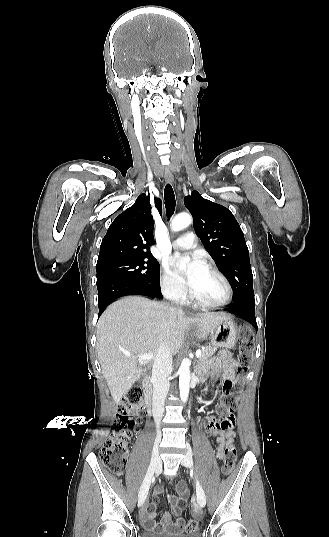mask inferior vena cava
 Masks as SVG:
<instances>
[{
	"label": "inferior vena cava",
	"mask_w": 329,
	"mask_h": 537,
	"mask_svg": "<svg viewBox=\"0 0 329 537\" xmlns=\"http://www.w3.org/2000/svg\"><path fill=\"white\" fill-rule=\"evenodd\" d=\"M173 312H182L180 309L171 307ZM172 370V353L166 337L161 341L152 367L153 404L152 412L157 432H160V422L164 414L165 399L169 390V375Z\"/></svg>",
	"instance_id": "inferior-vena-cava-1"
}]
</instances>
